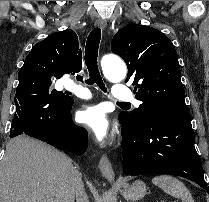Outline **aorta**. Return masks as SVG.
Masks as SVG:
<instances>
[{
	"mask_svg": "<svg viewBox=\"0 0 209 202\" xmlns=\"http://www.w3.org/2000/svg\"><path fill=\"white\" fill-rule=\"evenodd\" d=\"M101 65L105 77L110 81L120 82L125 79L127 68L120 58L113 55L104 56Z\"/></svg>",
	"mask_w": 209,
	"mask_h": 202,
	"instance_id": "aorta-1",
	"label": "aorta"
}]
</instances>
